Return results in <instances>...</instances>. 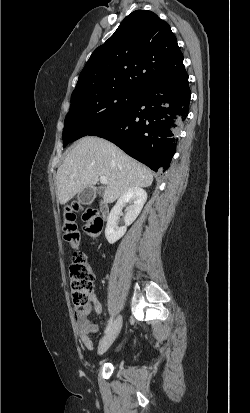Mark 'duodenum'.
Returning a JSON list of instances; mask_svg holds the SVG:
<instances>
[{
  "mask_svg": "<svg viewBox=\"0 0 250 413\" xmlns=\"http://www.w3.org/2000/svg\"><path fill=\"white\" fill-rule=\"evenodd\" d=\"M99 212L103 217H105L107 215V212H108L107 206L104 205V204L101 205L100 208H99Z\"/></svg>",
  "mask_w": 250,
  "mask_h": 413,
  "instance_id": "1",
  "label": "duodenum"
}]
</instances>
